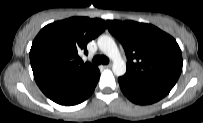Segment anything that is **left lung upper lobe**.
<instances>
[{"mask_svg": "<svg viewBox=\"0 0 203 123\" xmlns=\"http://www.w3.org/2000/svg\"><path fill=\"white\" fill-rule=\"evenodd\" d=\"M109 32L123 45L125 75L173 88L182 71V54L176 40L159 28L134 21H107Z\"/></svg>", "mask_w": 203, "mask_h": 123, "instance_id": "left-lung-upper-lobe-1", "label": "left lung upper lobe"}]
</instances>
